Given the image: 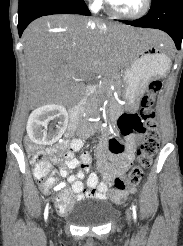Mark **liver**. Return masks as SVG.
<instances>
[{"label":"liver","instance_id":"liver-1","mask_svg":"<svg viewBox=\"0 0 183 246\" xmlns=\"http://www.w3.org/2000/svg\"><path fill=\"white\" fill-rule=\"evenodd\" d=\"M135 40L172 45L161 31L136 29L80 15H49L33 21L22 36L27 84L34 105H70L84 94L89 73L117 71L129 61Z\"/></svg>","mask_w":183,"mask_h":246}]
</instances>
